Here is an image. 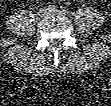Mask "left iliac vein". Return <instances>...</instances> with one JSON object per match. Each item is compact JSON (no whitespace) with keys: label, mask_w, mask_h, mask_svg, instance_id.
Listing matches in <instances>:
<instances>
[{"label":"left iliac vein","mask_w":111,"mask_h":106,"mask_svg":"<svg viewBox=\"0 0 111 106\" xmlns=\"http://www.w3.org/2000/svg\"><path fill=\"white\" fill-rule=\"evenodd\" d=\"M49 13H62V11H61V10L56 9V10H54V11H50Z\"/></svg>","instance_id":"4c4485c4"}]
</instances>
